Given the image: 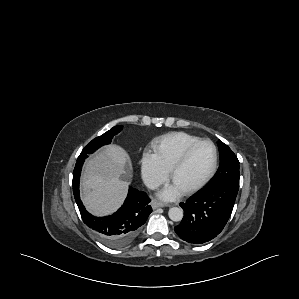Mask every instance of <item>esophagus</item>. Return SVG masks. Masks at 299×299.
<instances>
[{
  "instance_id": "esophagus-1",
  "label": "esophagus",
  "mask_w": 299,
  "mask_h": 299,
  "mask_svg": "<svg viewBox=\"0 0 299 299\" xmlns=\"http://www.w3.org/2000/svg\"><path fill=\"white\" fill-rule=\"evenodd\" d=\"M166 206H169V205L166 204V203H163V202H161V201H159V200H154V201L152 202V207H153L154 209L159 208V207H166Z\"/></svg>"
}]
</instances>
